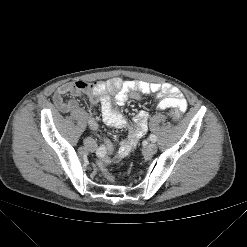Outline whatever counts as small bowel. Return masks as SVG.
Instances as JSON below:
<instances>
[{
  "instance_id": "1",
  "label": "small bowel",
  "mask_w": 247,
  "mask_h": 247,
  "mask_svg": "<svg viewBox=\"0 0 247 247\" xmlns=\"http://www.w3.org/2000/svg\"><path fill=\"white\" fill-rule=\"evenodd\" d=\"M142 93L155 94L158 99L157 107L162 111L176 108L180 112H185L188 106L179 89L169 84L149 83L139 80L125 81L120 78H111L96 85L85 81L67 82L56 89L53 94V101L60 112L78 114L81 109L74 98L86 94L89 97L91 107L100 105L104 123L111 128L121 129L126 127V120L115 107L124 104L129 99H139ZM66 95H71L73 99L65 101L64 96ZM147 119L148 113L146 111H140L135 115L133 119L134 128L131 130L129 138L120 141L119 150L113 159L110 156L103 159L102 163L104 165L111 163L112 160L119 161L130 154L136 140L147 129ZM87 122L91 129H98V123L91 114L88 115ZM104 143L110 154L113 149L111 141L105 140Z\"/></svg>"
}]
</instances>
